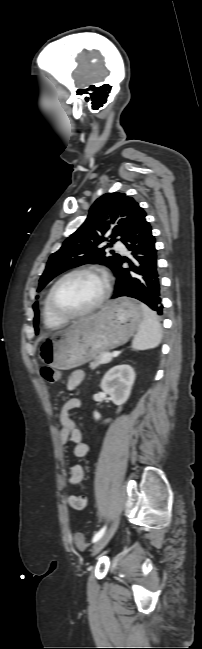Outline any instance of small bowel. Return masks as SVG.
Returning <instances> with one entry per match:
<instances>
[{"mask_svg":"<svg viewBox=\"0 0 202 649\" xmlns=\"http://www.w3.org/2000/svg\"><path fill=\"white\" fill-rule=\"evenodd\" d=\"M84 372L82 370L72 371L68 377L67 385L70 389L80 386L84 380ZM80 406L78 399L73 398L64 403L61 408V413L59 416L61 428L59 430V443L62 447L61 449V459H65V449L64 446L71 442L74 445L73 453L76 457H84L88 454L89 447L86 443L82 441V434L79 429L76 428L75 422L73 420V412ZM84 478V470L80 464H74L70 468L69 472V483L71 485H78L82 482ZM68 504L76 509L82 510L86 506V498L83 495L70 496L68 498Z\"/></svg>","mask_w":202,"mask_h":649,"instance_id":"small-bowel-1","label":"small bowel"}]
</instances>
